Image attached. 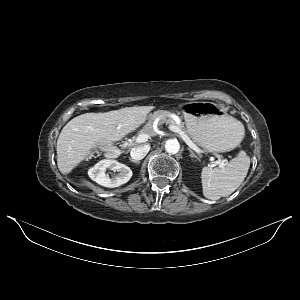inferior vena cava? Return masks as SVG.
Returning <instances> with one entry per match:
<instances>
[{
	"label": "inferior vena cava",
	"mask_w": 300,
	"mask_h": 300,
	"mask_svg": "<svg viewBox=\"0 0 300 300\" xmlns=\"http://www.w3.org/2000/svg\"><path fill=\"white\" fill-rule=\"evenodd\" d=\"M149 150H150L149 144L141 145V146L133 148L130 152V156L132 159L139 161L147 155Z\"/></svg>",
	"instance_id": "1"
}]
</instances>
